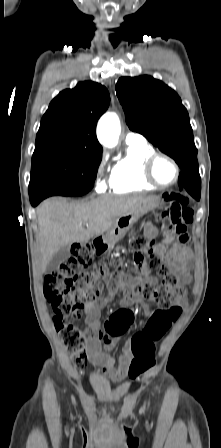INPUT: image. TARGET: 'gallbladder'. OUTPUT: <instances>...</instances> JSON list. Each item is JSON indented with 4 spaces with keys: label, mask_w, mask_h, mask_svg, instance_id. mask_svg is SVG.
<instances>
[{
    "label": "gallbladder",
    "mask_w": 221,
    "mask_h": 448,
    "mask_svg": "<svg viewBox=\"0 0 221 448\" xmlns=\"http://www.w3.org/2000/svg\"><path fill=\"white\" fill-rule=\"evenodd\" d=\"M70 257V247H62L49 261L46 270L52 272L60 266V264L66 261Z\"/></svg>",
    "instance_id": "obj_1"
}]
</instances>
